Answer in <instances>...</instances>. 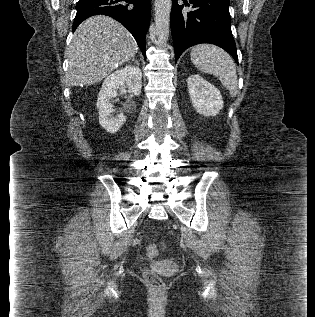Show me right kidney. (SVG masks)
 <instances>
[{
  "instance_id": "ca27d5eb",
  "label": "right kidney",
  "mask_w": 315,
  "mask_h": 317,
  "mask_svg": "<svg viewBox=\"0 0 315 317\" xmlns=\"http://www.w3.org/2000/svg\"><path fill=\"white\" fill-rule=\"evenodd\" d=\"M125 84L128 92L135 96L141 93L142 74L139 67L126 66L110 74L103 82L97 100L99 123L108 133H116L126 122V116L113 115L111 99L117 96V90H123Z\"/></svg>"
}]
</instances>
